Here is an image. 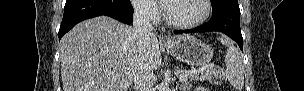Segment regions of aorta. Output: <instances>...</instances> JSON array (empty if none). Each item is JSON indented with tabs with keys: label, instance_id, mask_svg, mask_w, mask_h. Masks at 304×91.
<instances>
[{
	"label": "aorta",
	"instance_id": "obj_1",
	"mask_svg": "<svg viewBox=\"0 0 304 91\" xmlns=\"http://www.w3.org/2000/svg\"><path fill=\"white\" fill-rule=\"evenodd\" d=\"M159 91H170L169 84L167 82H162L159 85Z\"/></svg>",
	"mask_w": 304,
	"mask_h": 91
}]
</instances>
